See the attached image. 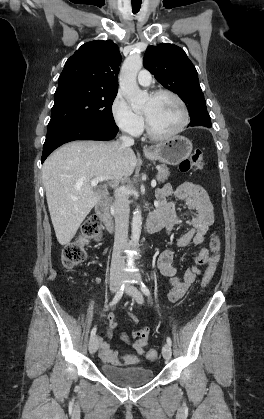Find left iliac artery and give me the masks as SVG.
<instances>
[{
  "instance_id": "1",
  "label": "left iliac artery",
  "mask_w": 264,
  "mask_h": 419,
  "mask_svg": "<svg viewBox=\"0 0 264 419\" xmlns=\"http://www.w3.org/2000/svg\"><path fill=\"white\" fill-rule=\"evenodd\" d=\"M140 289L146 296L150 295V291L148 287L143 282L140 283ZM167 343L171 346L172 341L170 337H167Z\"/></svg>"
}]
</instances>
